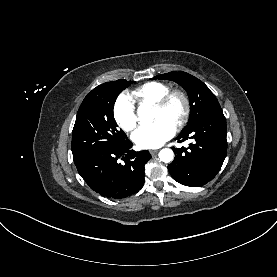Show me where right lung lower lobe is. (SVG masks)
<instances>
[{"label": "right lung lower lobe", "instance_id": "98d812e1", "mask_svg": "<svg viewBox=\"0 0 277 277\" xmlns=\"http://www.w3.org/2000/svg\"><path fill=\"white\" fill-rule=\"evenodd\" d=\"M132 142L95 148L74 159L87 185L107 198L121 199L138 192L144 184L148 151L130 150ZM119 159L124 162L120 163Z\"/></svg>", "mask_w": 277, "mask_h": 277}]
</instances>
